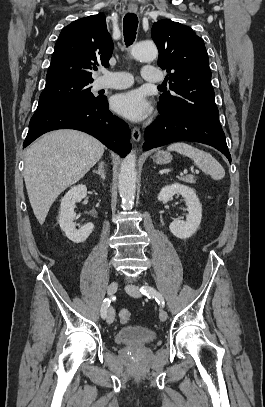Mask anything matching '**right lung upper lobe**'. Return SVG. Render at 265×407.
Listing matches in <instances>:
<instances>
[{"mask_svg": "<svg viewBox=\"0 0 265 407\" xmlns=\"http://www.w3.org/2000/svg\"><path fill=\"white\" fill-rule=\"evenodd\" d=\"M113 52V42L100 13L78 19L66 26L55 44L47 81L76 80L93 82L96 65L105 67Z\"/></svg>", "mask_w": 265, "mask_h": 407, "instance_id": "cb5924a9", "label": "right lung upper lobe"}]
</instances>
